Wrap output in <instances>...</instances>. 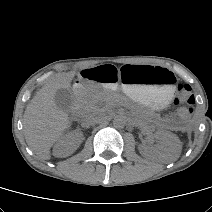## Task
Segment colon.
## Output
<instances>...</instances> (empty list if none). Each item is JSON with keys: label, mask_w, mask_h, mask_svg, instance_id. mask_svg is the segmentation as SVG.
Wrapping results in <instances>:
<instances>
[{"label": "colon", "mask_w": 212, "mask_h": 212, "mask_svg": "<svg viewBox=\"0 0 212 212\" xmlns=\"http://www.w3.org/2000/svg\"><path fill=\"white\" fill-rule=\"evenodd\" d=\"M174 104L180 108L185 119L189 118L195 105V96L188 84L182 83L177 86Z\"/></svg>", "instance_id": "colon-1"}]
</instances>
